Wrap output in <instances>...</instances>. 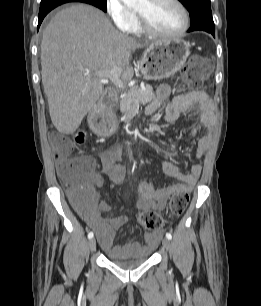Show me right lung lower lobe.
<instances>
[{"instance_id":"right-lung-lower-lobe-1","label":"right lung lower lobe","mask_w":261,"mask_h":306,"mask_svg":"<svg viewBox=\"0 0 261 306\" xmlns=\"http://www.w3.org/2000/svg\"><path fill=\"white\" fill-rule=\"evenodd\" d=\"M67 2H52V3H47L44 5H40V10H39V21H38V29L44 19V17L55 7Z\"/></svg>"}]
</instances>
